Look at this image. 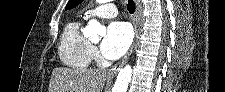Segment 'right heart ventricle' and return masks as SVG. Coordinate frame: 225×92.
Here are the masks:
<instances>
[{
  "label": "right heart ventricle",
  "mask_w": 225,
  "mask_h": 92,
  "mask_svg": "<svg viewBox=\"0 0 225 92\" xmlns=\"http://www.w3.org/2000/svg\"><path fill=\"white\" fill-rule=\"evenodd\" d=\"M58 54L61 61L73 68H88L93 58V46L81 31V23L78 20L70 21L64 28Z\"/></svg>",
  "instance_id": "obj_1"
}]
</instances>
